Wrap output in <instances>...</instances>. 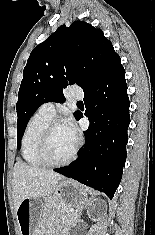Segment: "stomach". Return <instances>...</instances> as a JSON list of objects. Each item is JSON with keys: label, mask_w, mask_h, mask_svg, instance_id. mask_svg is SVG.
I'll list each match as a JSON object with an SVG mask.
<instances>
[{"label": "stomach", "mask_w": 155, "mask_h": 235, "mask_svg": "<svg viewBox=\"0 0 155 235\" xmlns=\"http://www.w3.org/2000/svg\"><path fill=\"white\" fill-rule=\"evenodd\" d=\"M52 202H60L68 208H82L87 201V194L75 181L63 179L56 186ZM47 205L39 198H25L16 211L20 235H44L43 218Z\"/></svg>", "instance_id": "obj_1"}]
</instances>
